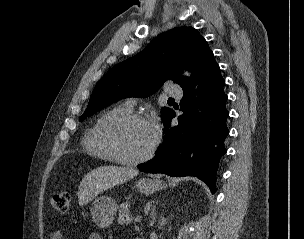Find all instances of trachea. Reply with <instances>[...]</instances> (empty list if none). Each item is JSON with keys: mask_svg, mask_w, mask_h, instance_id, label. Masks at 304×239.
<instances>
[{"mask_svg": "<svg viewBox=\"0 0 304 239\" xmlns=\"http://www.w3.org/2000/svg\"><path fill=\"white\" fill-rule=\"evenodd\" d=\"M169 101H174V99H172V98H169Z\"/></svg>", "mask_w": 304, "mask_h": 239, "instance_id": "3493384b", "label": "trachea"}]
</instances>
